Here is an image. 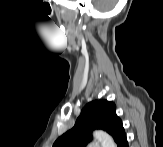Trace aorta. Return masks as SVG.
Instances as JSON below:
<instances>
[{
	"label": "aorta",
	"instance_id": "762f6f07",
	"mask_svg": "<svg viewBox=\"0 0 163 147\" xmlns=\"http://www.w3.org/2000/svg\"><path fill=\"white\" fill-rule=\"evenodd\" d=\"M94 138L101 143L102 147H116L113 138L102 130H96L93 133Z\"/></svg>",
	"mask_w": 163,
	"mask_h": 147
}]
</instances>
